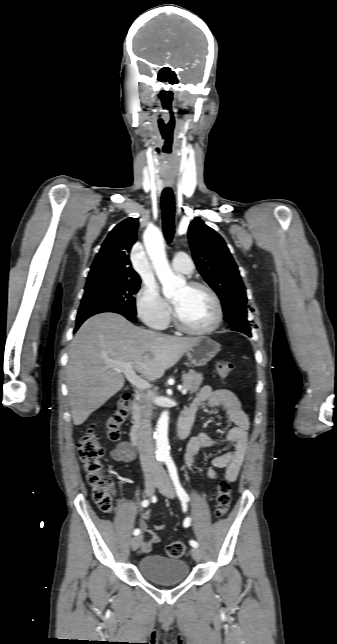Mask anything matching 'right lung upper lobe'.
Masks as SVG:
<instances>
[{
    "label": "right lung upper lobe",
    "instance_id": "right-lung-upper-lobe-1",
    "mask_svg": "<svg viewBox=\"0 0 337 644\" xmlns=\"http://www.w3.org/2000/svg\"><path fill=\"white\" fill-rule=\"evenodd\" d=\"M137 228L138 219L135 218L125 219L113 228L91 265L87 282L140 280L129 259L131 247L136 242Z\"/></svg>",
    "mask_w": 337,
    "mask_h": 644
}]
</instances>
